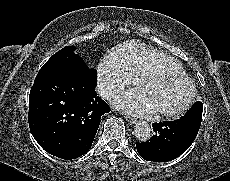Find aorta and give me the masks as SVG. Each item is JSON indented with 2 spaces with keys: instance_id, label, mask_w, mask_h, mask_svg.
<instances>
[{
  "instance_id": "aorta-1",
  "label": "aorta",
  "mask_w": 230,
  "mask_h": 181,
  "mask_svg": "<svg viewBox=\"0 0 230 181\" xmlns=\"http://www.w3.org/2000/svg\"><path fill=\"white\" fill-rule=\"evenodd\" d=\"M134 134L140 142H147L153 134L152 127L146 121H139L134 126Z\"/></svg>"
}]
</instances>
